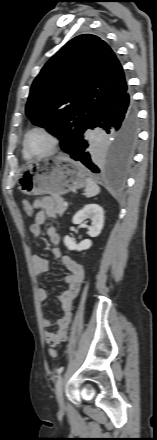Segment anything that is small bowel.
Instances as JSON below:
<instances>
[{
	"mask_svg": "<svg viewBox=\"0 0 157 440\" xmlns=\"http://www.w3.org/2000/svg\"><path fill=\"white\" fill-rule=\"evenodd\" d=\"M31 216L33 222L29 227V231L32 236L39 237L42 234V225L45 222L46 217L55 218L57 216L54 200L50 197L34 200L33 213ZM46 234L50 244L52 245L51 253L53 257L58 259L60 264L67 271L63 278L66 289L58 296L63 311V316L55 324H53L47 317H43L41 321L42 326L45 329V341L50 346L55 347L61 342L65 341L67 337L68 329L72 320L73 302L78 296L80 287L84 280V268L70 256L62 254L59 248L60 235L55 226H49ZM32 263L37 276L41 277L48 271V261L39 254H35L32 257ZM37 296L40 302H45L47 299L46 290L44 288H39L37 291ZM53 326L57 327L56 332L51 330V327Z\"/></svg>",
	"mask_w": 157,
	"mask_h": 440,
	"instance_id": "c3829d8e",
	"label": "small bowel"
}]
</instances>
